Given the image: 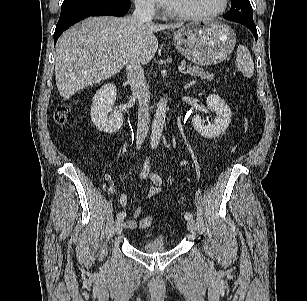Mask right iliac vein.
Returning <instances> with one entry per match:
<instances>
[{
  "label": "right iliac vein",
  "mask_w": 307,
  "mask_h": 301,
  "mask_svg": "<svg viewBox=\"0 0 307 301\" xmlns=\"http://www.w3.org/2000/svg\"><path fill=\"white\" fill-rule=\"evenodd\" d=\"M123 230V220L122 219H118L115 222V232L117 234H120Z\"/></svg>",
  "instance_id": "right-iliac-vein-1"
}]
</instances>
